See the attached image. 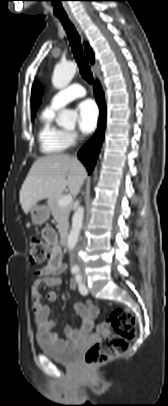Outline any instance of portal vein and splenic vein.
Here are the masks:
<instances>
[{"instance_id":"portal-vein-and-splenic-vein-1","label":"portal vein and splenic vein","mask_w":168,"mask_h":406,"mask_svg":"<svg viewBox=\"0 0 168 406\" xmlns=\"http://www.w3.org/2000/svg\"><path fill=\"white\" fill-rule=\"evenodd\" d=\"M72 203V196L71 195H66V196H63L61 199H59V201H58V205L60 206V207H65V206H68V205H70Z\"/></svg>"}]
</instances>
